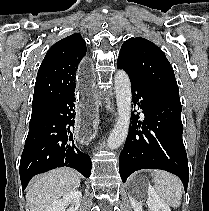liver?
<instances>
[{"label": "liver", "instance_id": "liver-1", "mask_svg": "<svg viewBox=\"0 0 209 211\" xmlns=\"http://www.w3.org/2000/svg\"><path fill=\"white\" fill-rule=\"evenodd\" d=\"M80 186V177L70 168H58L34 177L26 194L30 211L46 209L63 195Z\"/></svg>", "mask_w": 209, "mask_h": 211}]
</instances>
